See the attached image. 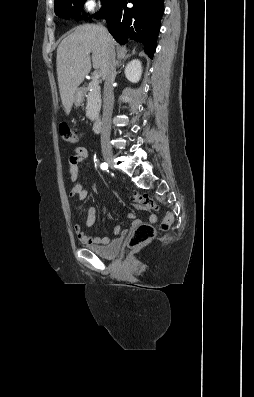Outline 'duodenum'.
<instances>
[{
    "label": "duodenum",
    "instance_id": "410a0bca",
    "mask_svg": "<svg viewBox=\"0 0 254 397\" xmlns=\"http://www.w3.org/2000/svg\"><path fill=\"white\" fill-rule=\"evenodd\" d=\"M102 128V121L100 117H97L93 121L92 129L95 133H98L101 131Z\"/></svg>",
    "mask_w": 254,
    "mask_h": 397
}]
</instances>
